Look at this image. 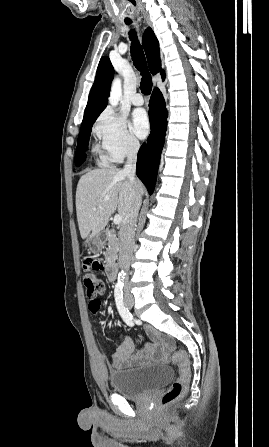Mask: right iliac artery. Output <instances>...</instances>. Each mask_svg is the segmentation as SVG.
<instances>
[{
  "instance_id": "obj_1",
  "label": "right iliac artery",
  "mask_w": 269,
  "mask_h": 447,
  "mask_svg": "<svg viewBox=\"0 0 269 447\" xmlns=\"http://www.w3.org/2000/svg\"><path fill=\"white\" fill-rule=\"evenodd\" d=\"M114 296L117 309L124 322L129 326H133V316L123 303V284H117L115 286Z\"/></svg>"
}]
</instances>
